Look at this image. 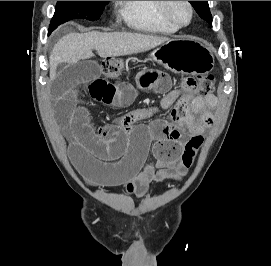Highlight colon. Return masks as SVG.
Instances as JSON below:
<instances>
[{"label": "colon", "mask_w": 271, "mask_h": 266, "mask_svg": "<svg viewBox=\"0 0 271 266\" xmlns=\"http://www.w3.org/2000/svg\"><path fill=\"white\" fill-rule=\"evenodd\" d=\"M100 69L106 78H114L124 70V63L117 59H107L100 62ZM215 86L214 76L204 74L197 77H187L182 82V89L185 95L209 96L212 94ZM204 137L197 133L191 136L183 145L181 162L184 168H189L202 146Z\"/></svg>", "instance_id": "1"}]
</instances>
